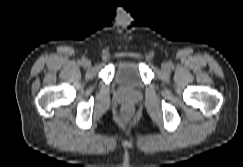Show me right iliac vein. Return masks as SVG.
<instances>
[{"mask_svg": "<svg viewBox=\"0 0 243 167\" xmlns=\"http://www.w3.org/2000/svg\"><path fill=\"white\" fill-rule=\"evenodd\" d=\"M83 65H84V67H86V68H90V67H91V62H90L89 60H85V61L83 62Z\"/></svg>", "mask_w": 243, "mask_h": 167, "instance_id": "1", "label": "right iliac vein"}]
</instances>
